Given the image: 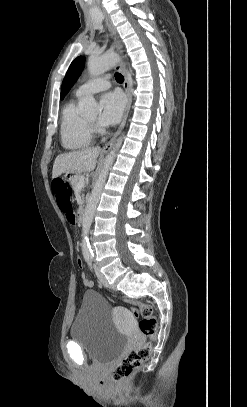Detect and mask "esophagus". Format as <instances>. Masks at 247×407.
Listing matches in <instances>:
<instances>
[{"mask_svg":"<svg viewBox=\"0 0 247 407\" xmlns=\"http://www.w3.org/2000/svg\"><path fill=\"white\" fill-rule=\"evenodd\" d=\"M105 20H106V22H107V24H108V26L110 28V31H111V37H112V40H113L114 45H115V50H116L117 53L122 54V45H121V42L119 40L116 27L114 26L113 22L111 21L110 17L107 14H105ZM115 68H116L117 71L121 72L122 75L124 76L123 87H124V90H125V93H126L127 103H126V106H125V109H124L123 119H122V122H121L118 130L115 132V134L110 139V141L107 144H105V146L103 147V151H107V150H109V149H111L113 147L117 136L120 134L121 130L123 129V127H124V125L126 123V119H127L128 113H129L130 105H131L130 83H129V78L127 76L126 70H125V68L123 66V62L120 60L116 64Z\"/></svg>","mask_w":247,"mask_h":407,"instance_id":"esophagus-1","label":"esophagus"}]
</instances>
